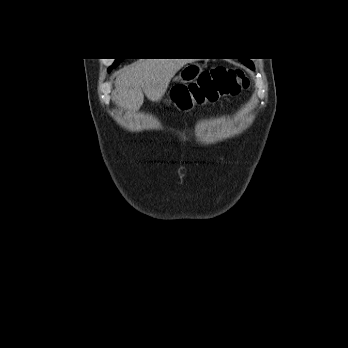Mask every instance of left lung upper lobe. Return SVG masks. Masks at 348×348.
I'll return each mask as SVG.
<instances>
[{
    "instance_id": "5c2ea615",
    "label": "left lung upper lobe",
    "mask_w": 348,
    "mask_h": 348,
    "mask_svg": "<svg viewBox=\"0 0 348 348\" xmlns=\"http://www.w3.org/2000/svg\"><path fill=\"white\" fill-rule=\"evenodd\" d=\"M244 65H246L247 67H249L250 69H254V65L253 63L249 60V59H243L240 60Z\"/></svg>"
}]
</instances>
